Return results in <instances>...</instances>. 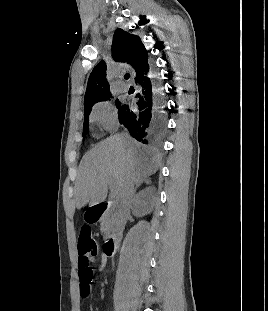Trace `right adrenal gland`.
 Instances as JSON below:
<instances>
[{"instance_id":"obj_1","label":"right adrenal gland","mask_w":268,"mask_h":311,"mask_svg":"<svg viewBox=\"0 0 268 311\" xmlns=\"http://www.w3.org/2000/svg\"><path fill=\"white\" fill-rule=\"evenodd\" d=\"M143 182H144L146 185H148V184L151 183V180H150L149 178H146V179L140 181V182L137 184L136 188H138Z\"/></svg>"}]
</instances>
